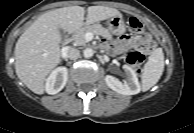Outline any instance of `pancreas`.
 <instances>
[{
	"mask_svg": "<svg viewBox=\"0 0 194 133\" xmlns=\"http://www.w3.org/2000/svg\"><path fill=\"white\" fill-rule=\"evenodd\" d=\"M87 33H92L93 35H100V36L107 38V39L112 38L110 32L107 29L103 28L99 24H93V25H88V26H85V27L79 29L73 35L74 45H76V46L85 45L87 43V40L85 38V35Z\"/></svg>",
	"mask_w": 194,
	"mask_h": 133,
	"instance_id": "pancreas-1",
	"label": "pancreas"
}]
</instances>
